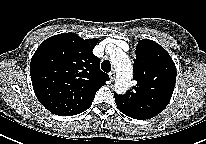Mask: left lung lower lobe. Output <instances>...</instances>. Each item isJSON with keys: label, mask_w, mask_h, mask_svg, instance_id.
<instances>
[{"label": "left lung lower lobe", "mask_w": 206, "mask_h": 144, "mask_svg": "<svg viewBox=\"0 0 206 144\" xmlns=\"http://www.w3.org/2000/svg\"><path fill=\"white\" fill-rule=\"evenodd\" d=\"M114 97H115V102H116V105H117L118 109H119L123 114L129 116L128 112H127L126 109L124 108L125 106L121 103V101L119 100V98H118L116 95H114ZM147 108H149V107H147ZM146 112H147L146 115H147V114H150L149 117H147V118L139 117V118H134V119L145 120V119H150V118L156 116L157 114H159V113H156V114H155V113H154V110H147ZM129 117H130V116H129Z\"/></svg>", "instance_id": "0a47b994"}]
</instances>
